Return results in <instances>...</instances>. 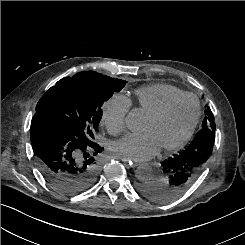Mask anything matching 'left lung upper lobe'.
Returning <instances> with one entry per match:
<instances>
[{"mask_svg": "<svg viewBox=\"0 0 245 245\" xmlns=\"http://www.w3.org/2000/svg\"><path fill=\"white\" fill-rule=\"evenodd\" d=\"M205 119L202 122V128L200 131L203 130H215V123H214V115L209 107L205 109Z\"/></svg>", "mask_w": 245, "mask_h": 245, "instance_id": "5c2ea615", "label": "left lung upper lobe"}]
</instances>
